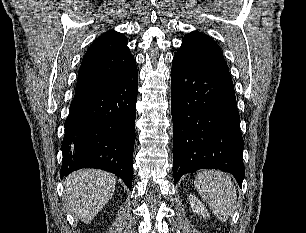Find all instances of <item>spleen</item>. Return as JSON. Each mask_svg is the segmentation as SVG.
Here are the masks:
<instances>
[{"mask_svg": "<svg viewBox=\"0 0 306 233\" xmlns=\"http://www.w3.org/2000/svg\"><path fill=\"white\" fill-rule=\"evenodd\" d=\"M194 186L221 222L228 220L235 210L237 193L230 175L219 170H205L197 174Z\"/></svg>", "mask_w": 306, "mask_h": 233, "instance_id": "3e777b00", "label": "spleen"}]
</instances>
